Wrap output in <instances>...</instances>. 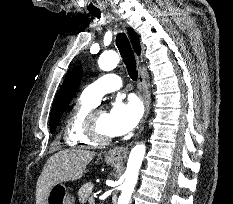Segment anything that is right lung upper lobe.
I'll list each match as a JSON object with an SVG mask.
<instances>
[{"instance_id": "right-lung-upper-lobe-1", "label": "right lung upper lobe", "mask_w": 233, "mask_h": 204, "mask_svg": "<svg viewBox=\"0 0 233 204\" xmlns=\"http://www.w3.org/2000/svg\"><path fill=\"white\" fill-rule=\"evenodd\" d=\"M128 31L131 41L133 43L134 50L139 55L141 51V47H140L138 35L131 29H129Z\"/></svg>"}]
</instances>
